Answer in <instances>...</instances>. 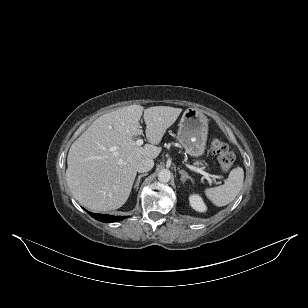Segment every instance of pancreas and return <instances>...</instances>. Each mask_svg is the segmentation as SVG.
I'll return each instance as SVG.
<instances>
[{
  "label": "pancreas",
  "instance_id": "obj_1",
  "mask_svg": "<svg viewBox=\"0 0 308 308\" xmlns=\"http://www.w3.org/2000/svg\"><path fill=\"white\" fill-rule=\"evenodd\" d=\"M194 165H196V166L202 165V162L201 161H196V162H194Z\"/></svg>",
  "mask_w": 308,
  "mask_h": 308
}]
</instances>
